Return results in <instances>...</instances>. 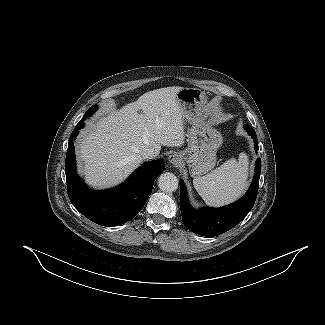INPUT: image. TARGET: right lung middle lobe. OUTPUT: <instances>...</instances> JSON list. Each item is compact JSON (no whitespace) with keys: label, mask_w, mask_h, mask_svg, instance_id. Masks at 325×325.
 Wrapping results in <instances>:
<instances>
[{"label":"right lung middle lobe","mask_w":325,"mask_h":325,"mask_svg":"<svg viewBox=\"0 0 325 325\" xmlns=\"http://www.w3.org/2000/svg\"><path fill=\"white\" fill-rule=\"evenodd\" d=\"M97 109V106H92L88 109V111L85 113L86 117H90Z\"/></svg>","instance_id":"dd1d6c3e"}]
</instances>
